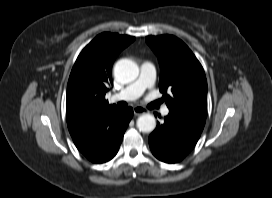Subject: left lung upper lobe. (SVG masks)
<instances>
[{
  "instance_id": "5c2ea615",
  "label": "left lung upper lobe",
  "mask_w": 272,
  "mask_h": 198,
  "mask_svg": "<svg viewBox=\"0 0 272 198\" xmlns=\"http://www.w3.org/2000/svg\"><path fill=\"white\" fill-rule=\"evenodd\" d=\"M146 42L159 60L161 100L169 110L206 118L207 80L192 51L172 35L147 36Z\"/></svg>"
}]
</instances>
